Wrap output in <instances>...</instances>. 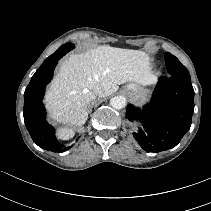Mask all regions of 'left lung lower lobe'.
Instances as JSON below:
<instances>
[{
	"label": "left lung lower lobe",
	"mask_w": 211,
	"mask_h": 211,
	"mask_svg": "<svg viewBox=\"0 0 211 211\" xmlns=\"http://www.w3.org/2000/svg\"><path fill=\"white\" fill-rule=\"evenodd\" d=\"M190 77H162L154 90L151 103L142 110L129 104L126 118L140 121L133 136L147 152H160L175 147L190 129L194 111V90Z\"/></svg>",
	"instance_id": "obj_1"
}]
</instances>
